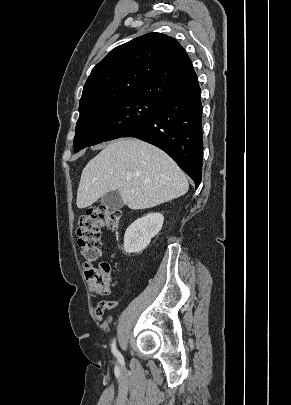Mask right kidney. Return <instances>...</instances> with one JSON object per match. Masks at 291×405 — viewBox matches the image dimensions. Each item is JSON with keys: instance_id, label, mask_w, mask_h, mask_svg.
Returning <instances> with one entry per match:
<instances>
[{"instance_id": "1", "label": "right kidney", "mask_w": 291, "mask_h": 405, "mask_svg": "<svg viewBox=\"0 0 291 405\" xmlns=\"http://www.w3.org/2000/svg\"><path fill=\"white\" fill-rule=\"evenodd\" d=\"M163 221L161 213H149L134 221L125 232L124 251L128 254L143 251L161 230Z\"/></svg>"}]
</instances>
